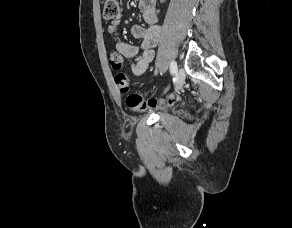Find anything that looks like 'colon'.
Returning <instances> with one entry per match:
<instances>
[{"label":"colon","mask_w":292,"mask_h":228,"mask_svg":"<svg viewBox=\"0 0 292 228\" xmlns=\"http://www.w3.org/2000/svg\"><path fill=\"white\" fill-rule=\"evenodd\" d=\"M103 14L106 19H116L120 15V3L118 0H104ZM109 63L114 70H118L122 66V58L115 51L109 55ZM116 84L122 93L129 91L127 79L123 75H118L115 78ZM175 99H171L173 103ZM161 101L156 98H149L145 100L142 95L138 93H130L126 98V105L134 111H144L146 109L156 108L161 105Z\"/></svg>","instance_id":"1"}]
</instances>
